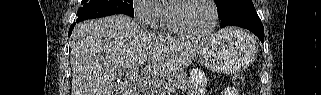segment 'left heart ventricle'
<instances>
[{
  "label": "left heart ventricle",
  "mask_w": 321,
  "mask_h": 95,
  "mask_svg": "<svg viewBox=\"0 0 321 95\" xmlns=\"http://www.w3.org/2000/svg\"><path fill=\"white\" fill-rule=\"evenodd\" d=\"M176 16L182 25L203 31L211 25L213 12L206 0H191L180 6Z\"/></svg>",
  "instance_id": "b2bd125f"
}]
</instances>
